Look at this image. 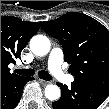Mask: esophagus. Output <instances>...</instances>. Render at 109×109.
<instances>
[{"label": "esophagus", "mask_w": 109, "mask_h": 109, "mask_svg": "<svg viewBox=\"0 0 109 109\" xmlns=\"http://www.w3.org/2000/svg\"><path fill=\"white\" fill-rule=\"evenodd\" d=\"M39 81H40L43 85H48V84H50V82H49V81H46V80L40 79Z\"/></svg>", "instance_id": "34e87169"}]
</instances>
